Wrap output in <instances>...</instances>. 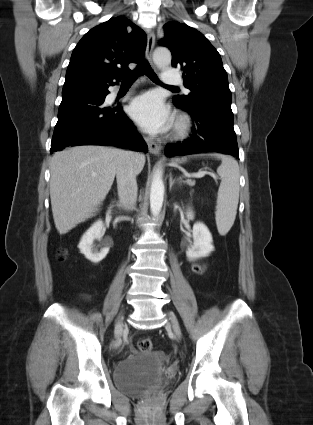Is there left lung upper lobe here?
<instances>
[{"mask_svg": "<svg viewBox=\"0 0 313 425\" xmlns=\"http://www.w3.org/2000/svg\"><path fill=\"white\" fill-rule=\"evenodd\" d=\"M161 46L172 52V66L183 70L184 85L191 92L174 96L173 102L191 107L203 102L231 105V91L220 54L196 29L173 21L164 26Z\"/></svg>", "mask_w": 313, "mask_h": 425, "instance_id": "left-lung-upper-lobe-1", "label": "left lung upper lobe"}]
</instances>
